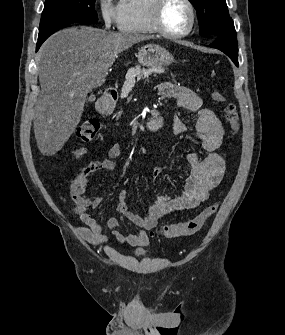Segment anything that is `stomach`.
Wrapping results in <instances>:
<instances>
[{"label":"stomach","mask_w":285,"mask_h":335,"mask_svg":"<svg viewBox=\"0 0 285 335\" xmlns=\"http://www.w3.org/2000/svg\"><path fill=\"white\" fill-rule=\"evenodd\" d=\"M139 64L142 66H170L174 62V58L166 48L162 46H156V44H147L143 48H139L136 56ZM108 104H112L109 98L103 100L102 108L107 110Z\"/></svg>","instance_id":"0dacf381"}]
</instances>
